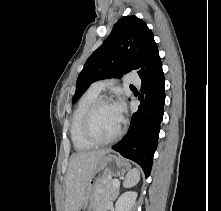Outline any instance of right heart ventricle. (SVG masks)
I'll return each instance as SVG.
<instances>
[{"mask_svg":"<svg viewBox=\"0 0 221 211\" xmlns=\"http://www.w3.org/2000/svg\"><path fill=\"white\" fill-rule=\"evenodd\" d=\"M99 95L100 92L92 87L89 88L82 95L73 112L70 133L73 145L78 151H85L94 146L83 137L82 121L86 110L97 98H99Z\"/></svg>","mask_w":221,"mask_h":211,"instance_id":"obj_1","label":"right heart ventricle"}]
</instances>
